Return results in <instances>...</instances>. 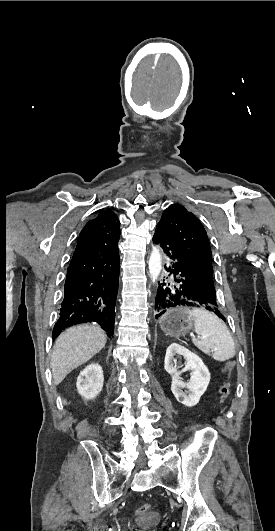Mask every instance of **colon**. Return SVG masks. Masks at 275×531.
<instances>
[{
    "mask_svg": "<svg viewBox=\"0 0 275 531\" xmlns=\"http://www.w3.org/2000/svg\"><path fill=\"white\" fill-rule=\"evenodd\" d=\"M235 369V363L232 362V361H229L226 363L225 365V368H224V376H225V381L223 382V384L220 386V395H221V400L222 402L224 403H227L229 402L230 400V391H231V383L229 381L233 371ZM150 506L148 504H141L138 508H137V512L140 514V515H145L147 513L150 512Z\"/></svg>",
    "mask_w": 275,
    "mask_h": 531,
    "instance_id": "colon-1",
    "label": "colon"
}]
</instances>
